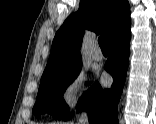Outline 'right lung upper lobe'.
I'll return each mask as SVG.
<instances>
[{
	"label": "right lung upper lobe",
	"instance_id": "1",
	"mask_svg": "<svg viewBox=\"0 0 156 124\" xmlns=\"http://www.w3.org/2000/svg\"><path fill=\"white\" fill-rule=\"evenodd\" d=\"M127 0H80L79 10L72 13L56 32L48 63L41 77H50L81 64L79 48L85 29L105 32L109 43L130 29Z\"/></svg>",
	"mask_w": 156,
	"mask_h": 124
}]
</instances>
